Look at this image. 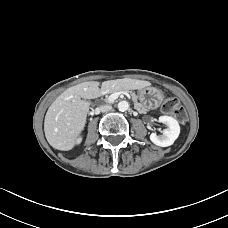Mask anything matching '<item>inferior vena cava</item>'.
<instances>
[{
	"label": "inferior vena cava",
	"instance_id": "obj_1",
	"mask_svg": "<svg viewBox=\"0 0 228 228\" xmlns=\"http://www.w3.org/2000/svg\"><path fill=\"white\" fill-rule=\"evenodd\" d=\"M111 109H112V106H111V105H108V104L102 105V106L99 107V110H100L101 112H108V111H110Z\"/></svg>",
	"mask_w": 228,
	"mask_h": 228
}]
</instances>
